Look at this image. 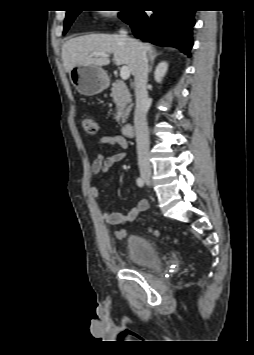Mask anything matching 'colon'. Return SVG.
<instances>
[{
	"label": "colon",
	"instance_id": "1",
	"mask_svg": "<svg viewBox=\"0 0 254 355\" xmlns=\"http://www.w3.org/2000/svg\"><path fill=\"white\" fill-rule=\"evenodd\" d=\"M82 127L84 132L88 135H95L98 132V124L92 118H84L82 120ZM152 233L156 236L160 235L158 230H153ZM174 242L179 243L177 239H174Z\"/></svg>",
	"mask_w": 254,
	"mask_h": 355
}]
</instances>
